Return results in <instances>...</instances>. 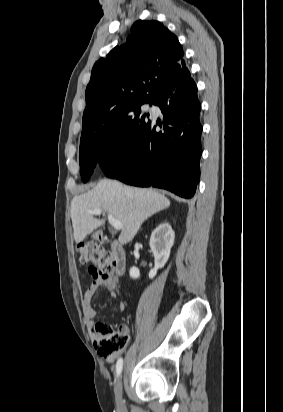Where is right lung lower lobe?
Here are the masks:
<instances>
[{"label":"right lung lower lobe","instance_id":"right-lung-lower-lobe-1","mask_svg":"<svg viewBox=\"0 0 283 412\" xmlns=\"http://www.w3.org/2000/svg\"><path fill=\"white\" fill-rule=\"evenodd\" d=\"M163 113V129L149 121L125 156L102 167L124 183L167 189L191 198L200 178L201 104L191 77L166 87L154 103ZM161 126V125H160Z\"/></svg>","mask_w":283,"mask_h":412}]
</instances>
